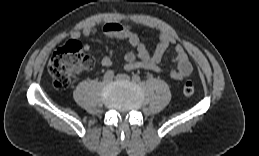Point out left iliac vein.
Instances as JSON below:
<instances>
[{
    "mask_svg": "<svg viewBox=\"0 0 259 156\" xmlns=\"http://www.w3.org/2000/svg\"><path fill=\"white\" fill-rule=\"evenodd\" d=\"M116 79L117 80H125V81H129L130 80V77L126 74H119L116 76Z\"/></svg>",
    "mask_w": 259,
    "mask_h": 156,
    "instance_id": "1",
    "label": "left iliac vein"
}]
</instances>
